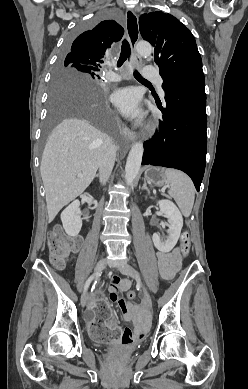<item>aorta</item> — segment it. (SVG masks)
Here are the masks:
<instances>
[{
  "instance_id": "1",
  "label": "aorta",
  "mask_w": 248,
  "mask_h": 389,
  "mask_svg": "<svg viewBox=\"0 0 248 389\" xmlns=\"http://www.w3.org/2000/svg\"><path fill=\"white\" fill-rule=\"evenodd\" d=\"M136 51L141 56H150L152 53V46L147 42H139L136 45ZM143 150V144L141 142H136L131 147L125 166V182L127 185H131L139 173Z\"/></svg>"
}]
</instances>
